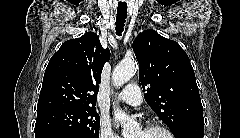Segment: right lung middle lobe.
<instances>
[{"label": "right lung middle lobe", "mask_w": 240, "mask_h": 138, "mask_svg": "<svg viewBox=\"0 0 240 138\" xmlns=\"http://www.w3.org/2000/svg\"><path fill=\"white\" fill-rule=\"evenodd\" d=\"M100 118L93 108L58 109L37 115L35 134L57 132L72 138H99Z\"/></svg>", "instance_id": "1"}]
</instances>
